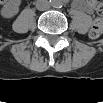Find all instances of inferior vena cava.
Listing matches in <instances>:
<instances>
[{
  "label": "inferior vena cava",
  "instance_id": "602c4592",
  "mask_svg": "<svg viewBox=\"0 0 103 103\" xmlns=\"http://www.w3.org/2000/svg\"><path fill=\"white\" fill-rule=\"evenodd\" d=\"M36 8L40 11H45L50 8V3L47 0H38L36 2Z\"/></svg>",
  "mask_w": 103,
  "mask_h": 103
}]
</instances>
